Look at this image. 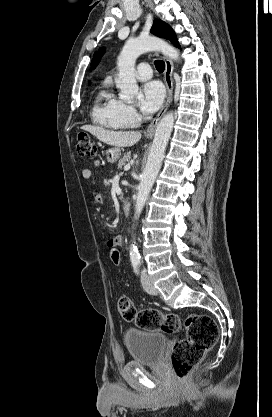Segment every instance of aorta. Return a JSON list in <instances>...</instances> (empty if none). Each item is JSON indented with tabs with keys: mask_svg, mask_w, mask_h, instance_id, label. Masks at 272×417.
<instances>
[{
	"mask_svg": "<svg viewBox=\"0 0 272 417\" xmlns=\"http://www.w3.org/2000/svg\"><path fill=\"white\" fill-rule=\"evenodd\" d=\"M148 51H161L165 56L175 61L179 59L178 50L160 38L154 36H140L126 41L117 59L119 74L116 86L120 89V98L123 101L131 103L138 94L139 88L135 79V63L136 59L141 54ZM173 124L174 115L170 112L167 113L157 125L148 160L138 186L135 219L139 218L148 194L159 173L165 149L173 129ZM129 254L131 261H138L140 259L138 249L133 244L130 246Z\"/></svg>",
	"mask_w": 272,
	"mask_h": 417,
	"instance_id": "obj_1",
	"label": "aorta"
}]
</instances>
